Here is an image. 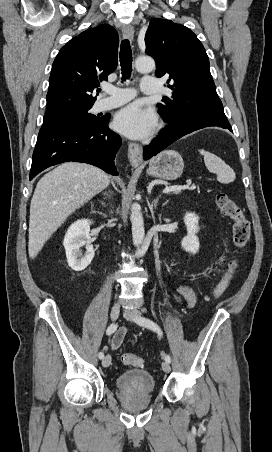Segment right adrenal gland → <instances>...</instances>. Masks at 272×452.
I'll return each instance as SVG.
<instances>
[{"label":"right adrenal gland","mask_w":272,"mask_h":452,"mask_svg":"<svg viewBox=\"0 0 272 452\" xmlns=\"http://www.w3.org/2000/svg\"><path fill=\"white\" fill-rule=\"evenodd\" d=\"M104 195H107L106 193H104ZM100 203H101V205L103 206V207H106L107 206V204L104 202V201H100Z\"/></svg>","instance_id":"obj_1"}]
</instances>
